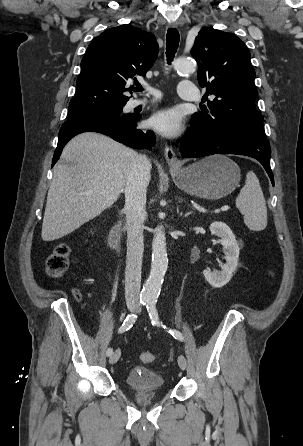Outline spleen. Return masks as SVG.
<instances>
[{
  "label": "spleen",
  "instance_id": "1",
  "mask_svg": "<svg viewBox=\"0 0 303 446\" xmlns=\"http://www.w3.org/2000/svg\"><path fill=\"white\" fill-rule=\"evenodd\" d=\"M236 207L244 216V223L250 230L261 231L266 228V201L253 171H249L246 175L245 185L236 198Z\"/></svg>",
  "mask_w": 303,
  "mask_h": 446
}]
</instances>
